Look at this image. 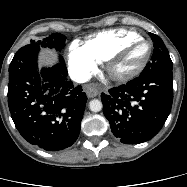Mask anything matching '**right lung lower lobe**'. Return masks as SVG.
<instances>
[{"mask_svg":"<svg viewBox=\"0 0 187 187\" xmlns=\"http://www.w3.org/2000/svg\"><path fill=\"white\" fill-rule=\"evenodd\" d=\"M39 50L28 44L16 52L9 67L8 105L24 139L44 150L58 151L78 138L87 97L80 85L67 79L62 56L57 65L39 70Z\"/></svg>","mask_w":187,"mask_h":187,"instance_id":"obj_1","label":"right lung lower lobe"}]
</instances>
